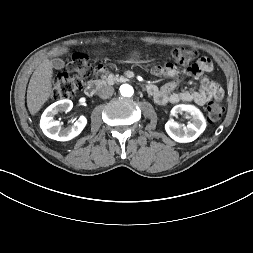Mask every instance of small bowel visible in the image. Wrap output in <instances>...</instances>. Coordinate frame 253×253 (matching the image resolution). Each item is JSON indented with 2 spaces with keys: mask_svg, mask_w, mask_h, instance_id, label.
<instances>
[{
  "mask_svg": "<svg viewBox=\"0 0 253 253\" xmlns=\"http://www.w3.org/2000/svg\"><path fill=\"white\" fill-rule=\"evenodd\" d=\"M211 69L212 65L207 57L197 58L185 65V76H183V79H186V77L189 79H197L201 76V87L198 90L176 91L179 80L175 79L161 87L150 83L147 86V91L160 105L180 102H194L198 105H204L211 99H220L223 96L222 88L207 76ZM151 73L157 77L165 76L175 78L179 70L176 68L174 62L169 61L166 65L153 67Z\"/></svg>",
  "mask_w": 253,
  "mask_h": 253,
  "instance_id": "c3829d8e",
  "label": "small bowel"
}]
</instances>
